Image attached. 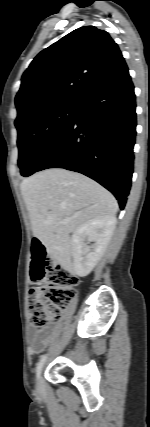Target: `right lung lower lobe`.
<instances>
[{"label":"right lung lower lobe","instance_id":"right-lung-lower-lobe-1","mask_svg":"<svg viewBox=\"0 0 150 427\" xmlns=\"http://www.w3.org/2000/svg\"><path fill=\"white\" fill-rule=\"evenodd\" d=\"M135 108L127 69L78 105L69 127L35 172L65 168L82 173L111 191L123 209L133 173Z\"/></svg>","mask_w":150,"mask_h":427}]
</instances>
